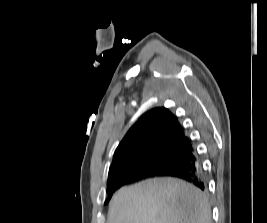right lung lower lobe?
<instances>
[{"label": "right lung lower lobe", "instance_id": "98d812e1", "mask_svg": "<svg viewBox=\"0 0 267 223\" xmlns=\"http://www.w3.org/2000/svg\"><path fill=\"white\" fill-rule=\"evenodd\" d=\"M155 176L180 178L194 184L201 190L205 189V181L203 178L201 163L198 154L191 143V146L185 151L184 155L178 159L167 171L163 173H153L151 171L143 170H132L125 172L108 179L107 191L109 194H113L116 189L125 184Z\"/></svg>", "mask_w": 267, "mask_h": 223}]
</instances>
